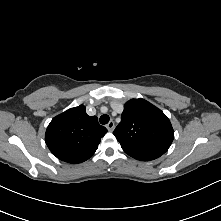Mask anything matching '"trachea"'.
<instances>
[{"label": "trachea", "mask_w": 221, "mask_h": 221, "mask_svg": "<svg viewBox=\"0 0 221 221\" xmlns=\"http://www.w3.org/2000/svg\"><path fill=\"white\" fill-rule=\"evenodd\" d=\"M110 118L108 115L104 114L100 117L99 121L101 124L105 125L109 122Z\"/></svg>", "instance_id": "3493384b"}]
</instances>
